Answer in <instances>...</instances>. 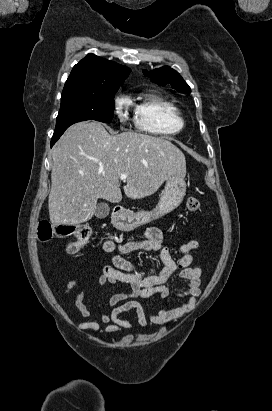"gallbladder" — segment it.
Masks as SVG:
<instances>
[{
	"mask_svg": "<svg viewBox=\"0 0 272 411\" xmlns=\"http://www.w3.org/2000/svg\"><path fill=\"white\" fill-rule=\"evenodd\" d=\"M110 208L107 203L101 202L96 206L95 216L98 219H104L108 216Z\"/></svg>",
	"mask_w": 272,
	"mask_h": 411,
	"instance_id": "gallbladder-1",
	"label": "gallbladder"
}]
</instances>
